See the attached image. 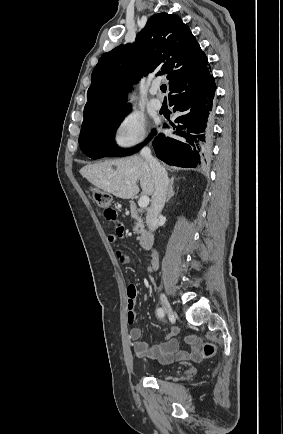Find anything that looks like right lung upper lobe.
Returning <instances> with one entry per match:
<instances>
[{
    "label": "right lung upper lobe",
    "mask_w": 283,
    "mask_h": 434,
    "mask_svg": "<svg viewBox=\"0 0 283 434\" xmlns=\"http://www.w3.org/2000/svg\"><path fill=\"white\" fill-rule=\"evenodd\" d=\"M148 74L167 77L170 98L194 91L212 78L207 56L179 16L154 14L134 44L120 45L101 56L92 72L82 129L128 111L126 93Z\"/></svg>",
    "instance_id": "obj_1"
}]
</instances>
